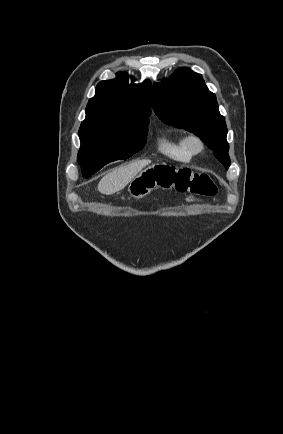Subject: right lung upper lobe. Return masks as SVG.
<instances>
[{
	"label": "right lung upper lobe",
	"instance_id": "1",
	"mask_svg": "<svg viewBox=\"0 0 283 434\" xmlns=\"http://www.w3.org/2000/svg\"><path fill=\"white\" fill-rule=\"evenodd\" d=\"M113 80L101 81L96 95L86 108L81 127L127 126L149 121L152 104V85L128 83V74L119 72Z\"/></svg>",
	"mask_w": 283,
	"mask_h": 434
}]
</instances>
